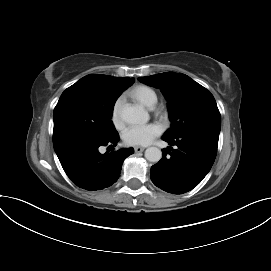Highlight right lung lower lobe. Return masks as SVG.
Instances as JSON below:
<instances>
[{"label": "right lung lower lobe", "mask_w": 271, "mask_h": 271, "mask_svg": "<svg viewBox=\"0 0 271 271\" xmlns=\"http://www.w3.org/2000/svg\"><path fill=\"white\" fill-rule=\"evenodd\" d=\"M118 141V134L85 139L69 143L55 152L73 183L82 189L96 191L114 184L120 176L123 161L134 153L133 148L110 154L99 152L100 146H116Z\"/></svg>", "instance_id": "right-lung-lower-lobe-1"}]
</instances>
